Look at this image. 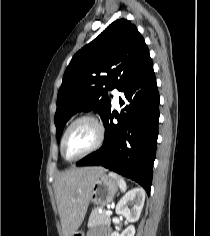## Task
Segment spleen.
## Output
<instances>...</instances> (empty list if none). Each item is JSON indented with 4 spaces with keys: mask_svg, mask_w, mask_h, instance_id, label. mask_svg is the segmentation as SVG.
Listing matches in <instances>:
<instances>
[{
    "mask_svg": "<svg viewBox=\"0 0 210 236\" xmlns=\"http://www.w3.org/2000/svg\"><path fill=\"white\" fill-rule=\"evenodd\" d=\"M109 175L117 180L121 191H125L127 189L126 182L121 176L117 175L116 173H110Z\"/></svg>",
    "mask_w": 210,
    "mask_h": 236,
    "instance_id": "3e777b00",
    "label": "spleen"
}]
</instances>
